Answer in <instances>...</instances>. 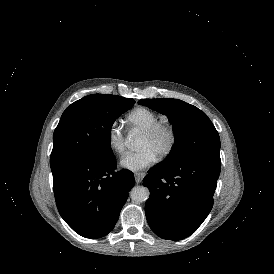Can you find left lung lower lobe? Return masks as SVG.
<instances>
[{"mask_svg":"<svg viewBox=\"0 0 274 274\" xmlns=\"http://www.w3.org/2000/svg\"><path fill=\"white\" fill-rule=\"evenodd\" d=\"M220 167V157L198 156L173 166L159 163L148 171L145 213L156 235L181 240L196 231L212 209Z\"/></svg>","mask_w":274,"mask_h":274,"instance_id":"1","label":"left lung lower lobe"}]
</instances>
